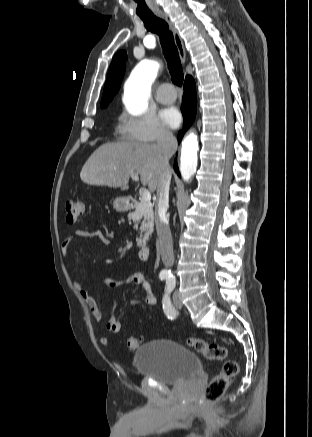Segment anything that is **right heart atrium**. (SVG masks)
I'll return each instance as SVG.
<instances>
[{
    "mask_svg": "<svg viewBox=\"0 0 312 437\" xmlns=\"http://www.w3.org/2000/svg\"><path fill=\"white\" fill-rule=\"evenodd\" d=\"M117 134L121 140L144 144L172 139L171 132L151 112L140 115L121 113L118 118Z\"/></svg>",
    "mask_w": 312,
    "mask_h": 437,
    "instance_id": "obj_1",
    "label": "right heart atrium"
}]
</instances>
